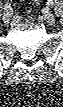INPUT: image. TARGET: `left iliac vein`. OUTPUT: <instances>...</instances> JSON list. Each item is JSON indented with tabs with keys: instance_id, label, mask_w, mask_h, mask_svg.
Masks as SVG:
<instances>
[{
	"instance_id": "1",
	"label": "left iliac vein",
	"mask_w": 63,
	"mask_h": 107,
	"mask_svg": "<svg viewBox=\"0 0 63 107\" xmlns=\"http://www.w3.org/2000/svg\"><path fill=\"white\" fill-rule=\"evenodd\" d=\"M44 20L49 24L53 25L55 23V16L51 12H47L44 15Z\"/></svg>"
}]
</instances>
